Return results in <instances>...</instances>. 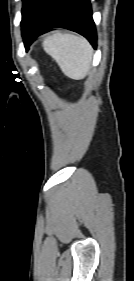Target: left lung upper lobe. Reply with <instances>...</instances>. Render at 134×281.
Listing matches in <instances>:
<instances>
[{"label":"left lung upper lobe","mask_w":134,"mask_h":281,"mask_svg":"<svg viewBox=\"0 0 134 281\" xmlns=\"http://www.w3.org/2000/svg\"><path fill=\"white\" fill-rule=\"evenodd\" d=\"M41 0H23V8H22V30L27 24L29 18L31 17L33 11Z\"/></svg>","instance_id":"1"}]
</instances>
